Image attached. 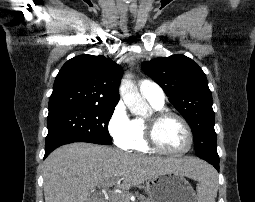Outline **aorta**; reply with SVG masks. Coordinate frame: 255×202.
I'll list each match as a JSON object with an SVG mask.
<instances>
[{"instance_id": "aorta-1", "label": "aorta", "mask_w": 255, "mask_h": 202, "mask_svg": "<svg viewBox=\"0 0 255 202\" xmlns=\"http://www.w3.org/2000/svg\"><path fill=\"white\" fill-rule=\"evenodd\" d=\"M121 93L126 106L132 114L138 116H145L147 114L149 106L131 80H124Z\"/></svg>"}]
</instances>
